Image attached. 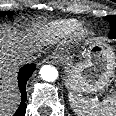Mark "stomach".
<instances>
[{
  "label": "stomach",
  "mask_w": 116,
  "mask_h": 116,
  "mask_svg": "<svg viewBox=\"0 0 116 116\" xmlns=\"http://www.w3.org/2000/svg\"><path fill=\"white\" fill-rule=\"evenodd\" d=\"M84 60L73 63L67 60L66 86L74 92H98L105 88L113 75V50L102 43H92L82 54Z\"/></svg>",
  "instance_id": "0dacf381"
}]
</instances>
